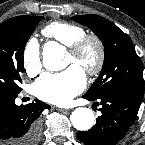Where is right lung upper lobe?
<instances>
[{"label":"right lung upper lobe","mask_w":145,"mask_h":145,"mask_svg":"<svg viewBox=\"0 0 145 145\" xmlns=\"http://www.w3.org/2000/svg\"><path fill=\"white\" fill-rule=\"evenodd\" d=\"M32 17L33 16H17V17L10 18V19L6 20L5 22H3L2 24H0V30L14 28V27L28 21Z\"/></svg>","instance_id":"obj_1"}]
</instances>
